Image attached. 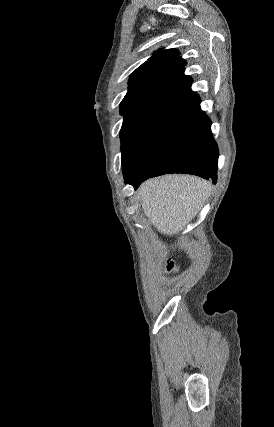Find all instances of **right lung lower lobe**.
I'll use <instances>...</instances> for the list:
<instances>
[{
	"label": "right lung lower lobe",
	"mask_w": 274,
	"mask_h": 427,
	"mask_svg": "<svg viewBox=\"0 0 274 427\" xmlns=\"http://www.w3.org/2000/svg\"><path fill=\"white\" fill-rule=\"evenodd\" d=\"M199 103L194 95L174 105L136 164L122 167L125 183L137 189L147 178L167 173L193 174L216 183L218 148Z\"/></svg>",
	"instance_id": "obj_1"
}]
</instances>
